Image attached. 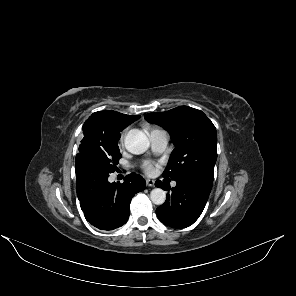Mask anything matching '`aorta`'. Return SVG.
Returning <instances> with one entry per match:
<instances>
[{"label": "aorta", "mask_w": 296, "mask_h": 296, "mask_svg": "<svg viewBox=\"0 0 296 296\" xmlns=\"http://www.w3.org/2000/svg\"><path fill=\"white\" fill-rule=\"evenodd\" d=\"M125 147L132 154L144 153L150 145L144 132L138 129L130 130L125 136ZM150 199L156 205H162L166 200V192L161 188H155L150 192Z\"/></svg>", "instance_id": "762f6f07"}]
</instances>
